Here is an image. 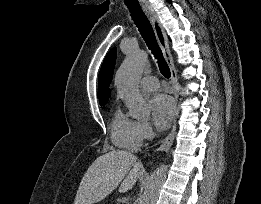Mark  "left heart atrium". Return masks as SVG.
<instances>
[{
  "label": "left heart atrium",
  "instance_id": "left-heart-atrium-1",
  "mask_svg": "<svg viewBox=\"0 0 261 204\" xmlns=\"http://www.w3.org/2000/svg\"><path fill=\"white\" fill-rule=\"evenodd\" d=\"M152 120L155 126L166 129L174 116V103L166 94H156L151 99Z\"/></svg>",
  "mask_w": 261,
  "mask_h": 204
}]
</instances>
